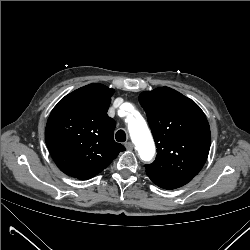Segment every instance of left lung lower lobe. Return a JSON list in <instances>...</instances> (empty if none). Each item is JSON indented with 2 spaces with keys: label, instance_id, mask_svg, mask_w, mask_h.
Wrapping results in <instances>:
<instances>
[{
  "label": "left lung lower lobe",
  "instance_id": "1",
  "mask_svg": "<svg viewBox=\"0 0 250 250\" xmlns=\"http://www.w3.org/2000/svg\"><path fill=\"white\" fill-rule=\"evenodd\" d=\"M147 175L152 180L153 183L164 189H175L187 184L189 181L192 180L191 177L169 178V177L157 176L150 173H147Z\"/></svg>",
  "mask_w": 250,
  "mask_h": 250
}]
</instances>
